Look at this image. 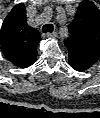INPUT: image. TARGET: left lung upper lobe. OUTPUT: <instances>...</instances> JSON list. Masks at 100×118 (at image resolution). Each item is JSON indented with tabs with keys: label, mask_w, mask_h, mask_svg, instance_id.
Instances as JSON below:
<instances>
[{
	"label": "left lung upper lobe",
	"mask_w": 100,
	"mask_h": 118,
	"mask_svg": "<svg viewBox=\"0 0 100 118\" xmlns=\"http://www.w3.org/2000/svg\"><path fill=\"white\" fill-rule=\"evenodd\" d=\"M69 32L70 39L65 41L69 63L77 71L87 70L100 58L99 9L90 1L81 2Z\"/></svg>",
	"instance_id": "left-lung-upper-lobe-1"
}]
</instances>
